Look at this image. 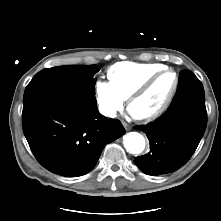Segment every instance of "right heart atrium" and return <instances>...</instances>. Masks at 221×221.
Wrapping results in <instances>:
<instances>
[{"label": "right heart atrium", "instance_id": "obj_1", "mask_svg": "<svg viewBox=\"0 0 221 221\" xmlns=\"http://www.w3.org/2000/svg\"><path fill=\"white\" fill-rule=\"evenodd\" d=\"M95 97L100 113L106 118H114L124 104V99L118 94L110 82L97 80Z\"/></svg>", "mask_w": 221, "mask_h": 221}]
</instances>
